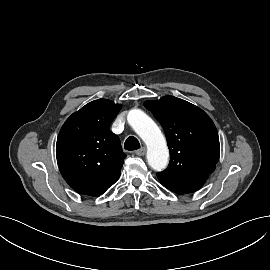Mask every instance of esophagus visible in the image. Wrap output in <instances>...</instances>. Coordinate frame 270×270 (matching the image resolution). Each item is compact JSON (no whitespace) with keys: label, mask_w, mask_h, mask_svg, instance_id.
<instances>
[{"label":"esophagus","mask_w":270,"mask_h":270,"mask_svg":"<svg viewBox=\"0 0 270 270\" xmlns=\"http://www.w3.org/2000/svg\"><path fill=\"white\" fill-rule=\"evenodd\" d=\"M146 153V148L145 147H141L139 150L135 151V154L137 156H144Z\"/></svg>","instance_id":"esophagus-1"}]
</instances>
